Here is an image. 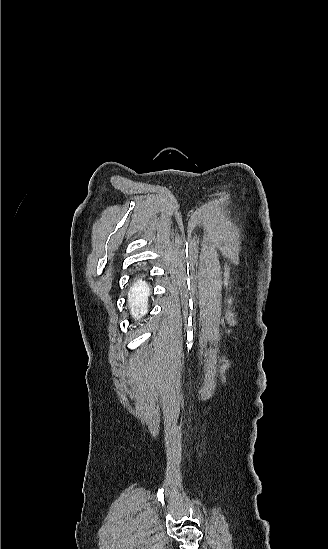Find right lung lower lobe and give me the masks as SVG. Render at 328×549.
I'll list each match as a JSON object with an SVG mask.
<instances>
[{
	"label": "right lung lower lobe",
	"mask_w": 328,
	"mask_h": 549,
	"mask_svg": "<svg viewBox=\"0 0 328 549\" xmlns=\"http://www.w3.org/2000/svg\"><path fill=\"white\" fill-rule=\"evenodd\" d=\"M146 289L145 281L143 279H139L136 284V290L138 293L144 292Z\"/></svg>",
	"instance_id": "right-lung-lower-lobe-1"
}]
</instances>
